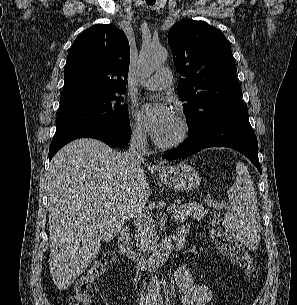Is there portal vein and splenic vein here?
<instances>
[{"instance_id":"1","label":"portal vein and splenic vein","mask_w":297,"mask_h":305,"mask_svg":"<svg viewBox=\"0 0 297 305\" xmlns=\"http://www.w3.org/2000/svg\"><path fill=\"white\" fill-rule=\"evenodd\" d=\"M218 207H222V205H218ZM174 208H175V206H174V205L169 206V207L167 208V211H169V212H173V211H174Z\"/></svg>"}]
</instances>
